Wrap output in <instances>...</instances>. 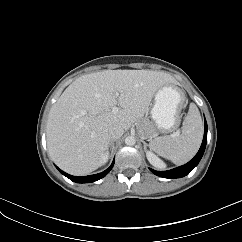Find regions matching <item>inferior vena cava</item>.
Masks as SVG:
<instances>
[{
  "mask_svg": "<svg viewBox=\"0 0 242 242\" xmlns=\"http://www.w3.org/2000/svg\"><path fill=\"white\" fill-rule=\"evenodd\" d=\"M124 133V129L120 126H113L109 129V136L112 140L119 139Z\"/></svg>",
  "mask_w": 242,
  "mask_h": 242,
  "instance_id": "obj_1",
  "label": "inferior vena cava"
}]
</instances>
